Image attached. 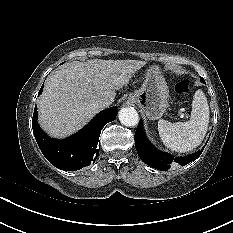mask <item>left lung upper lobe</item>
Here are the masks:
<instances>
[{
  "instance_id": "left-lung-upper-lobe-1",
  "label": "left lung upper lobe",
  "mask_w": 233,
  "mask_h": 233,
  "mask_svg": "<svg viewBox=\"0 0 233 233\" xmlns=\"http://www.w3.org/2000/svg\"><path fill=\"white\" fill-rule=\"evenodd\" d=\"M200 79H201V82H203V83H204V79H203V78H201V77H200Z\"/></svg>"
}]
</instances>
